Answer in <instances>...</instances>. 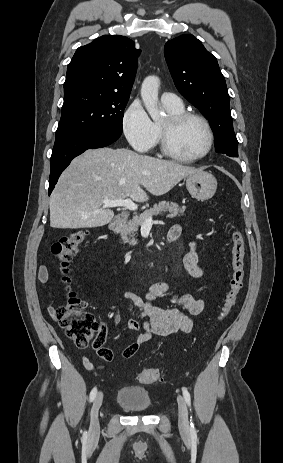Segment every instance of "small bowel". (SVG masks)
<instances>
[{"instance_id":"small-bowel-1","label":"small bowel","mask_w":283,"mask_h":463,"mask_svg":"<svg viewBox=\"0 0 283 463\" xmlns=\"http://www.w3.org/2000/svg\"><path fill=\"white\" fill-rule=\"evenodd\" d=\"M182 228L180 225H173L168 236H173L174 240L180 237ZM188 251L183 257V265L187 273L195 279L204 277L205 271L199 265L197 253V243L190 240ZM38 279L41 283H46L49 279V269L41 267L38 271ZM124 299L130 301L139 311L140 317L144 320L142 323L135 319H130L127 323L131 332L139 334L134 341L127 346L122 356L124 358L132 357L144 343L149 341L153 336L166 337L177 332L190 333L193 328V316L199 315L204 309V300L194 297L187 293H178L171 289L165 282H156L151 285L149 291L144 297L132 291H126L123 294ZM167 297L173 306L160 307L155 305V301ZM49 312L54 314L53 307H49ZM114 324L120 321L119 314L116 312L113 318ZM136 351L132 352L131 349ZM82 363L88 370H94L96 367L85 356L82 357Z\"/></svg>"}]
</instances>
